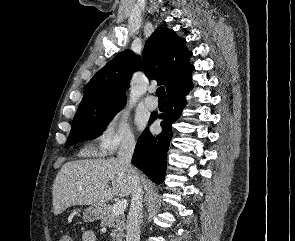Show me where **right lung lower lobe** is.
Listing matches in <instances>:
<instances>
[{"label": "right lung lower lobe", "instance_id": "right-lung-lower-lobe-1", "mask_svg": "<svg viewBox=\"0 0 295 241\" xmlns=\"http://www.w3.org/2000/svg\"><path fill=\"white\" fill-rule=\"evenodd\" d=\"M193 85L187 84L167 93V108L164 114L151 115L149 122L162 119V132L153 136L146 129L139 137L132 163L142 170L153 182L164 181L166 172V154L172 137V124L180 117L186 105L185 96Z\"/></svg>", "mask_w": 295, "mask_h": 241}]
</instances>
